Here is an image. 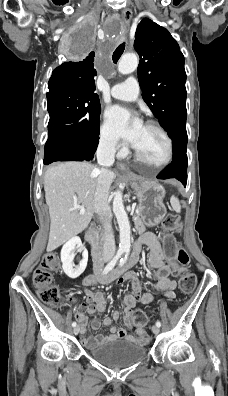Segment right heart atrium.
Here are the masks:
<instances>
[{
	"label": "right heart atrium",
	"instance_id": "right-heart-atrium-1",
	"mask_svg": "<svg viewBox=\"0 0 228 396\" xmlns=\"http://www.w3.org/2000/svg\"><path fill=\"white\" fill-rule=\"evenodd\" d=\"M99 142L108 152L117 153L124 151V147L119 143L106 123H103L99 128Z\"/></svg>",
	"mask_w": 228,
	"mask_h": 396
}]
</instances>
